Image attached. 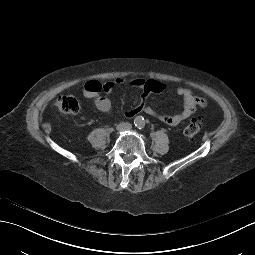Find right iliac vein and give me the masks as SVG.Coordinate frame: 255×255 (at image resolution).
I'll return each instance as SVG.
<instances>
[{
    "label": "right iliac vein",
    "mask_w": 255,
    "mask_h": 255,
    "mask_svg": "<svg viewBox=\"0 0 255 255\" xmlns=\"http://www.w3.org/2000/svg\"><path fill=\"white\" fill-rule=\"evenodd\" d=\"M123 128H124V126L122 124L117 126V130H119V131L123 130Z\"/></svg>",
    "instance_id": "obj_1"
}]
</instances>
